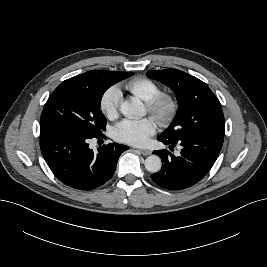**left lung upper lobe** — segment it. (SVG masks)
Masks as SVG:
<instances>
[{
  "instance_id": "left-lung-upper-lobe-1",
  "label": "left lung upper lobe",
  "mask_w": 267,
  "mask_h": 267,
  "mask_svg": "<svg viewBox=\"0 0 267 267\" xmlns=\"http://www.w3.org/2000/svg\"><path fill=\"white\" fill-rule=\"evenodd\" d=\"M146 75L169 86L179 104L173 122L158 138L176 143L195 135H224L221 104L203 81L177 69L148 71Z\"/></svg>"
}]
</instances>
